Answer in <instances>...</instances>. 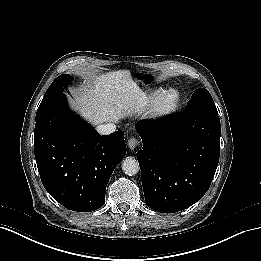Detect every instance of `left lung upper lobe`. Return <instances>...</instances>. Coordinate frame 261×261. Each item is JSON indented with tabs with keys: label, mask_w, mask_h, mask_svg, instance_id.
Returning <instances> with one entry per match:
<instances>
[{
	"label": "left lung upper lobe",
	"mask_w": 261,
	"mask_h": 261,
	"mask_svg": "<svg viewBox=\"0 0 261 261\" xmlns=\"http://www.w3.org/2000/svg\"><path fill=\"white\" fill-rule=\"evenodd\" d=\"M202 109L217 112L214 101L207 89H197L189 100L186 110Z\"/></svg>",
	"instance_id": "5c2ea615"
}]
</instances>
